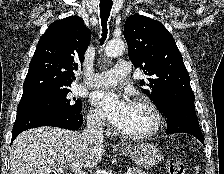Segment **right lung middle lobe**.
<instances>
[{"mask_svg": "<svg viewBox=\"0 0 224 174\" xmlns=\"http://www.w3.org/2000/svg\"><path fill=\"white\" fill-rule=\"evenodd\" d=\"M69 87H49L23 94L18 108L40 107L59 114L81 113L82 103L71 97Z\"/></svg>", "mask_w": 224, "mask_h": 174, "instance_id": "obj_1", "label": "right lung middle lobe"}]
</instances>
